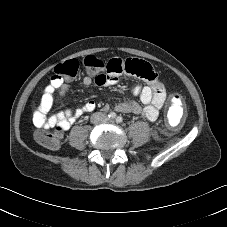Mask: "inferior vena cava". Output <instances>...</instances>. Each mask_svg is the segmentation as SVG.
<instances>
[{"label":"inferior vena cava","instance_id":"inferior-vena-cava-1","mask_svg":"<svg viewBox=\"0 0 227 227\" xmlns=\"http://www.w3.org/2000/svg\"><path fill=\"white\" fill-rule=\"evenodd\" d=\"M92 119H93L94 122L97 123V122H100V121H106L107 120V117H106L105 114L98 112V113H95L92 116Z\"/></svg>","mask_w":227,"mask_h":227}]
</instances>
